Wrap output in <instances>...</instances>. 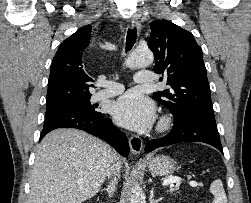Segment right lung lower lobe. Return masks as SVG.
<instances>
[{"instance_id": "obj_1", "label": "right lung lower lobe", "mask_w": 251, "mask_h": 203, "mask_svg": "<svg viewBox=\"0 0 251 203\" xmlns=\"http://www.w3.org/2000/svg\"><path fill=\"white\" fill-rule=\"evenodd\" d=\"M89 113L69 111L46 117L40 140L57 128H76L84 130L110 143L122 156L129 154L126 135L116 128L111 119Z\"/></svg>"}]
</instances>
